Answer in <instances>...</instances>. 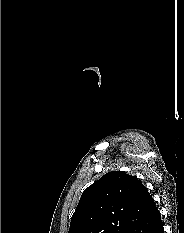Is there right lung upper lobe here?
<instances>
[{"label":"right lung upper lobe","instance_id":"right-lung-upper-lobe-1","mask_svg":"<svg viewBox=\"0 0 184 233\" xmlns=\"http://www.w3.org/2000/svg\"><path fill=\"white\" fill-rule=\"evenodd\" d=\"M155 208L138 178L112 171L83 192L68 233H128Z\"/></svg>","mask_w":184,"mask_h":233}]
</instances>
